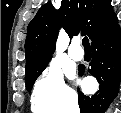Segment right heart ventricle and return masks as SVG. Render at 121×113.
Masks as SVG:
<instances>
[{"instance_id": "e07e8e85", "label": "right heart ventricle", "mask_w": 121, "mask_h": 113, "mask_svg": "<svg viewBox=\"0 0 121 113\" xmlns=\"http://www.w3.org/2000/svg\"><path fill=\"white\" fill-rule=\"evenodd\" d=\"M32 105H33V109H34V110L43 111L42 113L45 112V110H44L39 104L35 103L34 101H33Z\"/></svg>"}]
</instances>
